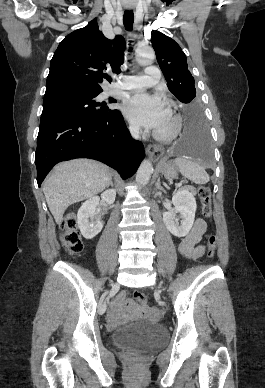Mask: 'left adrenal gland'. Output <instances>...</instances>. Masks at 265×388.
Returning a JSON list of instances; mask_svg holds the SVG:
<instances>
[{"label":"left adrenal gland","mask_w":265,"mask_h":388,"mask_svg":"<svg viewBox=\"0 0 265 388\" xmlns=\"http://www.w3.org/2000/svg\"><path fill=\"white\" fill-rule=\"evenodd\" d=\"M155 186H156V188H158V190H163L162 186H160V178H158Z\"/></svg>","instance_id":"left-adrenal-gland-1"}]
</instances>
